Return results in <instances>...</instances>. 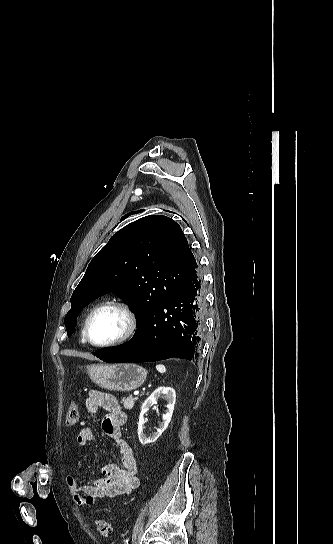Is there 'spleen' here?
Here are the masks:
<instances>
[{
  "instance_id": "obj_1",
  "label": "spleen",
  "mask_w": 333,
  "mask_h": 544,
  "mask_svg": "<svg viewBox=\"0 0 333 544\" xmlns=\"http://www.w3.org/2000/svg\"><path fill=\"white\" fill-rule=\"evenodd\" d=\"M156 369H157V371L160 372V373H165V372H166V368H165V366L162 365V364L156 365Z\"/></svg>"
}]
</instances>
